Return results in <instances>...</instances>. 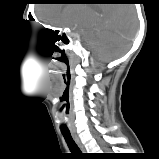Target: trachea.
Listing matches in <instances>:
<instances>
[{
	"instance_id": "3493384b",
	"label": "trachea",
	"mask_w": 159,
	"mask_h": 159,
	"mask_svg": "<svg viewBox=\"0 0 159 159\" xmlns=\"http://www.w3.org/2000/svg\"><path fill=\"white\" fill-rule=\"evenodd\" d=\"M62 135H63V137H64V139H65V141H66L71 153H73V154H81V150L79 149V147L77 146V144L73 140L71 134L62 132Z\"/></svg>"
}]
</instances>
